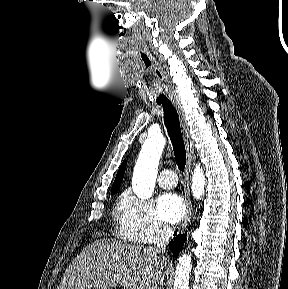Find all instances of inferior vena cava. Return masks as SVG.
I'll return each instance as SVG.
<instances>
[{"label": "inferior vena cava", "instance_id": "obj_1", "mask_svg": "<svg viewBox=\"0 0 288 289\" xmlns=\"http://www.w3.org/2000/svg\"><path fill=\"white\" fill-rule=\"evenodd\" d=\"M172 234H173L172 228L164 224L158 232L156 246L154 247V250L157 253L164 252L166 243L168 242Z\"/></svg>", "mask_w": 288, "mask_h": 289}]
</instances>
